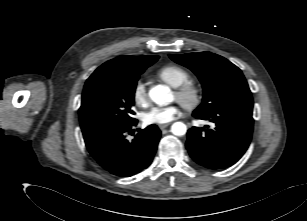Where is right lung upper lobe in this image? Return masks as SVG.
Returning a JSON list of instances; mask_svg holds the SVG:
<instances>
[{"label":"right lung upper lobe","instance_id":"right-lung-upper-lobe-1","mask_svg":"<svg viewBox=\"0 0 307 221\" xmlns=\"http://www.w3.org/2000/svg\"><path fill=\"white\" fill-rule=\"evenodd\" d=\"M158 56H119L109 60L95 70L92 76L121 69H130L153 64ZM156 60V61H155Z\"/></svg>","mask_w":307,"mask_h":221}]
</instances>
